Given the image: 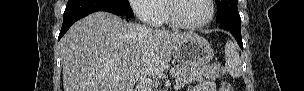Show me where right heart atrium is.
Listing matches in <instances>:
<instances>
[{"instance_id": "obj_1", "label": "right heart atrium", "mask_w": 304, "mask_h": 91, "mask_svg": "<svg viewBox=\"0 0 304 91\" xmlns=\"http://www.w3.org/2000/svg\"><path fill=\"white\" fill-rule=\"evenodd\" d=\"M130 5L141 21L152 24L161 22L157 0H131Z\"/></svg>"}]
</instances>
